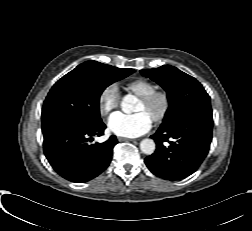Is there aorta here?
I'll return each mask as SVG.
<instances>
[{"label":"aorta","instance_id":"1","mask_svg":"<svg viewBox=\"0 0 252 231\" xmlns=\"http://www.w3.org/2000/svg\"><path fill=\"white\" fill-rule=\"evenodd\" d=\"M135 103V97L133 95H126L124 96L121 107L124 113H131L133 112V104ZM155 142L152 139H143L140 142V149L146 155H151L155 151Z\"/></svg>","mask_w":252,"mask_h":231}]
</instances>
